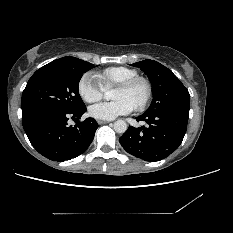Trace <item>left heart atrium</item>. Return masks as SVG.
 Masks as SVG:
<instances>
[{
  "label": "left heart atrium",
  "instance_id": "left-heart-atrium-1",
  "mask_svg": "<svg viewBox=\"0 0 233 233\" xmlns=\"http://www.w3.org/2000/svg\"><path fill=\"white\" fill-rule=\"evenodd\" d=\"M135 106L127 99H119L113 102H101L90 107V114L99 120H112L118 116L128 114Z\"/></svg>",
  "mask_w": 233,
  "mask_h": 233
}]
</instances>
